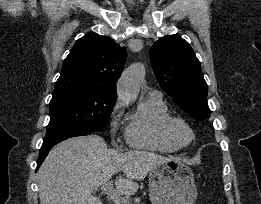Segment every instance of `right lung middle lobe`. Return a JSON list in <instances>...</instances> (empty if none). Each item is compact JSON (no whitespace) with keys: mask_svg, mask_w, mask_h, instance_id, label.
Returning <instances> with one entry per match:
<instances>
[{"mask_svg":"<svg viewBox=\"0 0 261 204\" xmlns=\"http://www.w3.org/2000/svg\"><path fill=\"white\" fill-rule=\"evenodd\" d=\"M116 99L90 90H73L53 95L50 101V122L44 139L102 130Z\"/></svg>","mask_w":261,"mask_h":204,"instance_id":"dd1d6c3e","label":"right lung middle lobe"}]
</instances>
